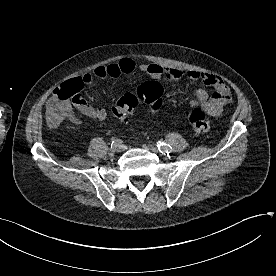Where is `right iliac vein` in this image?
I'll list each match as a JSON object with an SVG mask.
<instances>
[{
  "mask_svg": "<svg viewBox=\"0 0 276 276\" xmlns=\"http://www.w3.org/2000/svg\"><path fill=\"white\" fill-rule=\"evenodd\" d=\"M123 147L122 146H119V147H111L109 149V154H114L115 152H120L122 151Z\"/></svg>",
  "mask_w": 276,
  "mask_h": 276,
  "instance_id": "obj_1",
  "label": "right iliac vein"
}]
</instances>
